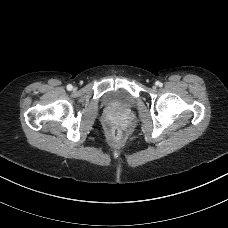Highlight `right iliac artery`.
I'll list each match as a JSON object with an SVG mask.
<instances>
[{"instance_id":"82829eb1","label":"right iliac artery","mask_w":228,"mask_h":228,"mask_svg":"<svg viewBox=\"0 0 228 228\" xmlns=\"http://www.w3.org/2000/svg\"><path fill=\"white\" fill-rule=\"evenodd\" d=\"M73 86L71 84L67 85V90H72Z\"/></svg>"}]
</instances>
